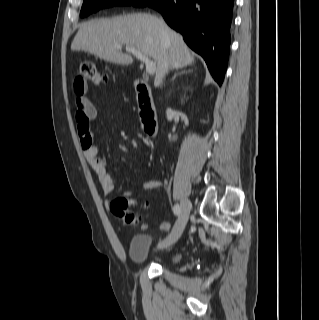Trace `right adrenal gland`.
<instances>
[{
	"mask_svg": "<svg viewBox=\"0 0 319 320\" xmlns=\"http://www.w3.org/2000/svg\"><path fill=\"white\" fill-rule=\"evenodd\" d=\"M187 72H190V70L189 71H185V70H183V71H181L179 74H183V73H187ZM178 75V73H175L174 74V76H173V78H172V81L175 79V77Z\"/></svg>",
	"mask_w": 319,
	"mask_h": 320,
	"instance_id": "2a0ac1e0",
	"label": "right adrenal gland"
}]
</instances>
